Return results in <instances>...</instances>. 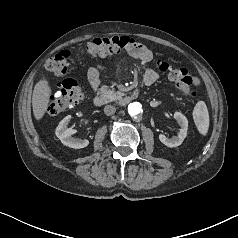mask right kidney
<instances>
[{"label": "right kidney", "mask_w": 238, "mask_h": 238, "mask_svg": "<svg viewBox=\"0 0 238 238\" xmlns=\"http://www.w3.org/2000/svg\"><path fill=\"white\" fill-rule=\"evenodd\" d=\"M71 115L66 116L56 128V136L60 141L71 148L80 149L88 146L89 141L87 139H77L72 135L76 133L75 129L68 128V123L70 122Z\"/></svg>", "instance_id": "obj_1"}]
</instances>
